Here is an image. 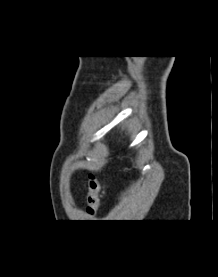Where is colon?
I'll use <instances>...</instances> for the list:
<instances>
[{
  "instance_id": "colon-1",
  "label": "colon",
  "mask_w": 218,
  "mask_h": 277,
  "mask_svg": "<svg viewBox=\"0 0 218 277\" xmlns=\"http://www.w3.org/2000/svg\"><path fill=\"white\" fill-rule=\"evenodd\" d=\"M103 185L95 174H90L86 188V212L89 216H95L98 212Z\"/></svg>"
}]
</instances>
